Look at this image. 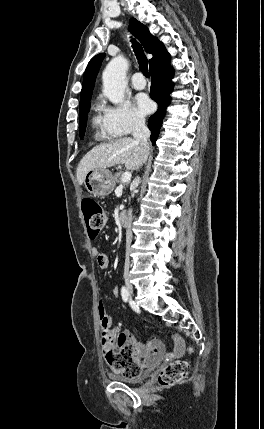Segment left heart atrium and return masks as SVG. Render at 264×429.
I'll use <instances>...</instances> for the list:
<instances>
[{
	"mask_svg": "<svg viewBox=\"0 0 264 429\" xmlns=\"http://www.w3.org/2000/svg\"><path fill=\"white\" fill-rule=\"evenodd\" d=\"M153 108L151 100L145 94H139L136 97V110L142 114H148Z\"/></svg>",
	"mask_w": 264,
	"mask_h": 429,
	"instance_id": "obj_1",
	"label": "left heart atrium"
}]
</instances>
